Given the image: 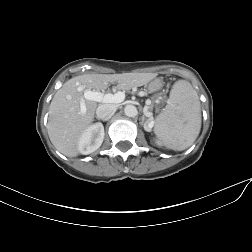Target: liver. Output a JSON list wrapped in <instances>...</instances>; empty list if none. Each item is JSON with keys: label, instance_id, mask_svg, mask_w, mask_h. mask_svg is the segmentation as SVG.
<instances>
[{"label": "liver", "instance_id": "liver-1", "mask_svg": "<svg viewBox=\"0 0 252 252\" xmlns=\"http://www.w3.org/2000/svg\"><path fill=\"white\" fill-rule=\"evenodd\" d=\"M155 74L122 73V74H83L66 81L54 95L47 123L48 135L55 148L68 157H76L78 141L83 132L94 120L97 102L84 99V91L104 90L110 83H117L120 90H129L149 83ZM82 86L84 89L79 91ZM84 100L86 112L81 113V102Z\"/></svg>", "mask_w": 252, "mask_h": 252}]
</instances>
